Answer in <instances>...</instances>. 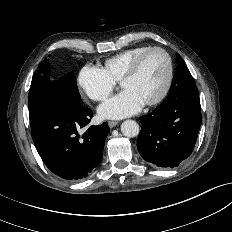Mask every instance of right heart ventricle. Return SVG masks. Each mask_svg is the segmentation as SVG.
<instances>
[{
    "mask_svg": "<svg viewBox=\"0 0 232 232\" xmlns=\"http://www.w3.org/2000/svg\"><path fill=\"white\" fill-rule=\"evenodd\" d=\"M149 48V46H137L117 53L104 61L102 69L112 81L119 82L134 58Z\"/></svg>",
    "mask_w": 232,
    "mask_h": 232,
    "instance_id": "right-heart-ventricle-1",
    "label": "right heart ventricle"
}]
</instances>
